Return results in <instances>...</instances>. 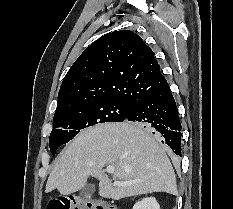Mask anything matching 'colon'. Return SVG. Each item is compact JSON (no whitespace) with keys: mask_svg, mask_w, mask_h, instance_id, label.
<instances>
[{"mask_svg":"<svg viewBox=\"0 0 233 209\" xmlns=\"http://www.w3.org/2000/svg\"><path fill=\"white\" fill-rule=\"evenodd\" d=\"M47 209H119L103 200L86 199L79 196L60 198L51 201Z\"/></svg>","mask_w":233,"mask_h":209,"instance_id":"1","label":"colon"}]
</instances>
